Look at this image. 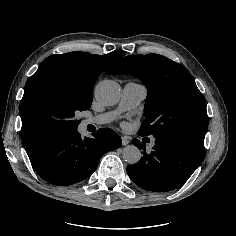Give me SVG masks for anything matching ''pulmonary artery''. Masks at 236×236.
Listing matches in <instances>:
<instances>
[{
	"label": "pulmonary artery",
	"instance_id": "e3ab8cb5",
	"mask_svg": "<svg viewBox=\"0 0 236 236\" xmlns=\"http://www.w3.org/2000/svg\"><path fill=\"white\" fill-rule=\"evenodd\" d=\"M146 94L147 91L145 86L135 82H128L123 87L122 96L117 110L91 117L86 120V124L102 125L109 123L116 119L119 112L136 107L145 99Z\"/></svg>",
	"mask_w": 236,
	"mask_h": 236
}]
</instances>
